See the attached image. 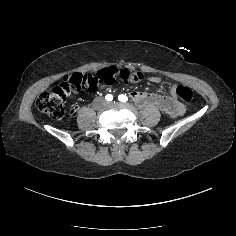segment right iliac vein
Instances as JSON below:
<instances>
[{"label": "right iliac vein", "mask_w": 236, "mask_h": 236, "mask_svg": "<svg viewBox=\"0 0 236 236\" xmlns=\"http://www.w3.org/2000/svg\"><path fill=\"white\" fill-rule=\"evenodd\" d=\"M105 106V101L104 100H99V105L98 107H104Z\"/></svg>", "instance_id": "right-iliac-vein-1"}]
</instances>
